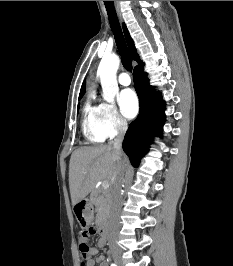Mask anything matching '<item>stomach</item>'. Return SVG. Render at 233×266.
I'll return each mask as SVG.
<instances>
[{
	"mask_svg": "<svg viewBox=\"0 0 233 266\" xmlns=\"http://www.w3.org/2000/svg\"><path fill=\"white\" fill-rule=\"evenodd\" d=\"M74 209L75 221L79 228H92L93 227V212L94 204H89V199H78Z\"/></svg>",
	"mask_w": 233,
	"mask_h": 266,
	"instance_id": "1",
	"label": "stomach"
}]
</instances>
